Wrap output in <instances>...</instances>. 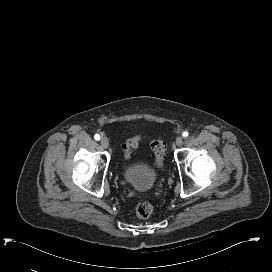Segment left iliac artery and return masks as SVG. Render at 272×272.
<instances>
[{
	"label": "left iliac artery",
	"mask_w": 272,
	"mask_h": 272,
	"mask_svg": "<svg viewBox=\"0 0 272 272\" xmlns=\"http://www.w3.org/2000/svg\"><path fill=\"white\" fill-rule=\"evenodd\" d=\"M183 137H187L188 136V132L187 131H185V132H183Z\"/></svg>",
	"instance_id": "1"
}]
</instances>
